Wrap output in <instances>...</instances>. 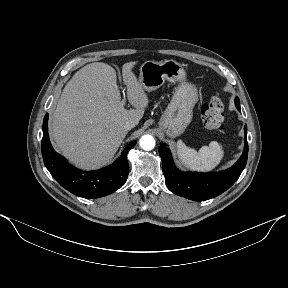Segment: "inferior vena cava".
I'll use <instances>...</instances> for the list:
<instances>
[{
	"instance_id": "inferior-vena-cava-1",
	"label": "inferior vena cava",
	"mask_w": 288,
	"mask_h": 288,
	"mask_svg": "<svg viewBox=\"0 0 288 288\" xmlns=\"http://www.w3.org/2000/svg\"><path fill=\"white\" fill-rule=\"evenodd\" d=\"M136 125H137V122L135 120H128L125 122L123 127L126 131H128L134 128Z\"/></svg>"
}]
</instances>
